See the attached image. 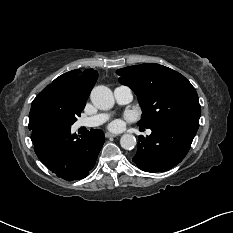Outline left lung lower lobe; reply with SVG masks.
Wrapping results in <instances>:
<instances>
[{
    "label": "left lung lower lobe",
    "instance_id": "1",
    "mask_svg": "<svg viewBox=\"0 0 233 233\" xmlns=\"http://www.w3.org/2000/svg\"><path fill=\"white\" fill-rule=\"evenodd\" d=\"M148 137L139 136L132 161L146 172L166 171L179 164L188 153L198 126L162 123L150 128Z\"/></svg>",
    "mask_w": 233,
    "mask_h": 233
}]
</instances>
